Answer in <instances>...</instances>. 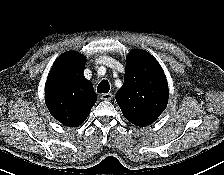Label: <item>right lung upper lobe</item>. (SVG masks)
<instances>
[{"mask_svg":"<svg viewBox=\"0 0 224 175\" xmlns=\"http://www.w3.org/2000/svg\"><path fill=\"white\" fill-rule=\"evenodd\" d=\"M85 63V57L75 51L63 53L53 64L46 82L48 110L68 127L82 124L97 100L91 82L83 76Z\"/></svg>","mask_w":224,"mask_h":175,"instance_id":"obj_1","label":"right lung upper lobe"}]
</instances>
